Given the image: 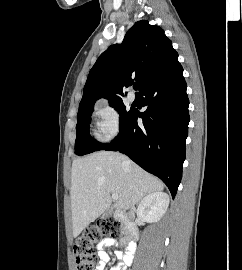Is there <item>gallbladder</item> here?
I'll return each instance as SVG.
<instances>
[{"label":"gallbladder","mask_w":242,"mask_h":270,"mask_svg":"<svg viewBox=\"0 0 242 270\" xmlns=\"http://www.w3.org/2000/svg\"><path fill=\"white\" fill-rule=\"evenodd\" d=\"M111 213H112V210H111V209H107V210L105 211V213L103 214L102 218H107V217H109V216L111 215Z\"/></svg>","instance_id":"obj_1"}]
</instances>
